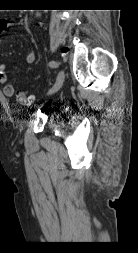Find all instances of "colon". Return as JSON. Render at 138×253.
Returning <instances> with one entry per match:
<instances>
[{"instance_id": "5ec220e1", "label": "colon", "mask_w": 138, "mask_h": 253, "mask_svg": "<svg viewBox=\"0 0 138 253\" xmlns=\"http://www.w3.org/2000/svg\"><path fill=\"white\" fill-rule=\"evenodd\" d=\"M15 98L18 103L26 106H30L33 104L34 98L33 96L29 95L24 90H17L15 93Z\"/></svg>"}]
</instances>
